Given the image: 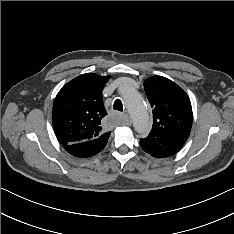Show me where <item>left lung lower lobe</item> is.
<instances>
[{
	"mask_svg": "<svg viewBox=\"0 0 234 234\" xmlns=\"http://www.w3.org/2000/svg\"><path fill=\"white\" fill-rule=\"evenodd\" d=\"M140 145L145 152L156 158L172 156L182 147L180 144L171 140L150 136L140 139Z\"/></svg>",
	"mask_w": 234,
	"mask_h": 234,
	"instance_id": "0a47b994",
	"label": "left lung lower lobe"
}]
</instances>
